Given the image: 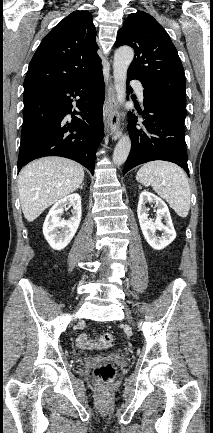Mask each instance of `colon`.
<instances>
[{
	"label": "colon",
	"mask_w": 213,
	"mask_h": 433,
	"mask_svg": "<svg viewBox=\"0 0 213 433\" xmlns=\"http://www.w3.org/2000/svg\"><path fill=\"white\" fill-rule=\"evenodd\" d=\"M102 340L106 345L112 344L114 337L111 333L107 332L103 334ZM116 369L111 363L101 364L94 369V377L97 383L102 387L106 388L113 377L115 376Z\"/></svg>",
	"instance_id": "obj_1"
}]
</instances>
